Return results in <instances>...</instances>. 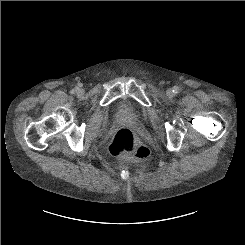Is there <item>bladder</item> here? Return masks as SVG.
I'll return each instance as SVG.
<instances>
[{
  "mask_svg": "<svg viewBox=\"0 0 245 245\" xmlns=\"http://www.w3.org/2000/svg\"><path fill=\"white\" fill-rule=\"evenodd\" d=\"M118 113L123 117H133L134 115L132 110L126 105H121L119 107Z\"/></svg>",
  "mask_w": 245,
  "mask_h": 245,
  "instance_id": "bladder-1",
  "label": "bladder"
}]
</instances>
